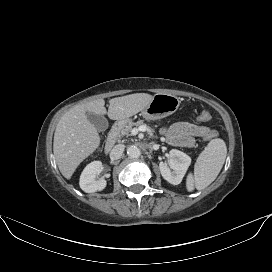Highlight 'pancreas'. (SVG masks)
Returning <instances> with one entry per match:
<instances>
[{
  "mask_svg": "<svg viewBox=\"0 0 272 272\" xmlns=\"http://www.w3.org/2000/svg\"><path fill=\"white\" fill-rule=\"evenodd\" d=\"M143 124V121H138V122H129L128 124H125L121 127L120 131L118 132V139L120 140L123 137H128L132 135V129L133 126H141Z\"/></svg>",
  "mask_w": 272,
  "mask_h": 272,
  "instance_id": "pancreas-1",
  "label": "pancreas"
}]
</instances>
